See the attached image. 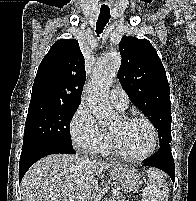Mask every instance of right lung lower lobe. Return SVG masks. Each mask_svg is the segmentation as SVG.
<instances>
[{
	"instance_id": "1",
	"label": "right lung lower lobe",
	"mask_w": 196,
	"mask_h": 201,
	"mask_svg": "<svg viewBox=\"0 0 196 201\" xmlns=\"http://www.w3.org/2000/svg\"><path fill=\"white\" fill-rule=\"evenodd\" d=\"M56 153L74 154L76 151L73 146H64L52 142H37L23 147L19 162V182L36 161L44 156Z\"/></svg>"
}]
</instances>
